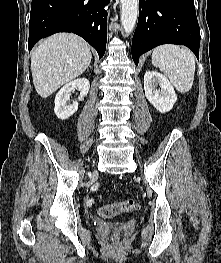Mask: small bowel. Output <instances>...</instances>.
Returning <instances> with one entry per match:
<instances>
[{"label": "small bowel", "instance_id": "c3829d8e", "mask_svg": "<svg viewBox=\"0 0 221 263\" xmlns=\"http://www.w3.org/2000/svg\"><path fill=\"white\" fill-rule=\"evenodd\" d=\"M98 190H99V185L98 184H95L94 186H93V191H95V192H98ZM98 198L99 199H101V195L98 193ZM95 203V200L94 199H89L88 200V204L89 205H92V204H94Z\"/></svg>", "mask_w": 221, "mask_h": 263}]
</instances>
